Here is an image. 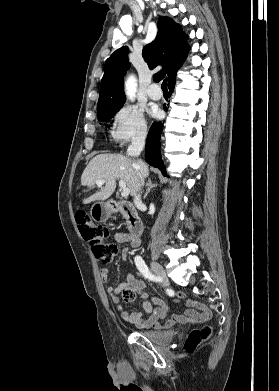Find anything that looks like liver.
I'll return each instance as SVG.
<instances>
[{"instance_id":"liver-1","label":"liver","mask_w":279,"mask_h":391,"mask_svg":"<svg viewBox=\"0 0 279 391\" xmlns=\"http://www.w3.org/2000/svg\"><path fill=\"white\" fill-rule=\"evenodd\" d=\"M140 172L143 178L149 176L148 165L142 160H132L120 154H99L92 158L81 176V185L94 188L97 180L105 179V186L97 191L83 203L106 200L116 188V180H123L135 196L142 186L137 176Z\"/></svg>"}]
</instances>
